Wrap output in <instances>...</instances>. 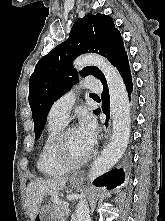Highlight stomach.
Segmentation results:
<instances>
[{"mask_svg": "<svg viewBox=\"0 0 165 221\" xmlns=\"http://www.w3.org/2000/svg\"><path fill=\"white\" fill-rule=\"evenodd\" d=\"M80 184V179L73 177L70 179V185L76 187ZM39 210L34 221H59V218L54 214L52 205L56 204L55 200H42Z\"/></svg>", "mask_w": 165, "mask_h": 221, "instance_id": "obj_1", "label": "stomach"}]
</instances>
